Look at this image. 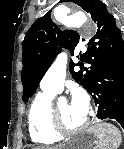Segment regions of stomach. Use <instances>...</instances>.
<instances>
[{
	"label": "stomach",
	"mask_w": 124,
	"mask_h": 149,
	"mask_svg": "<svg viewBox=\"0 0 124 149\" xmlns=\"http://www.w3.org/2000/svg\"><path fill=\"white\" fill-rule=\"evenodd\" d=\"M88 129L83 134L75 138L70 148L67 149H92L93 145L97 143L96 127ZM120 139V136L118 137Z\"/></svg>",
	"instance_id": "obj_1"
}]
</instances>
